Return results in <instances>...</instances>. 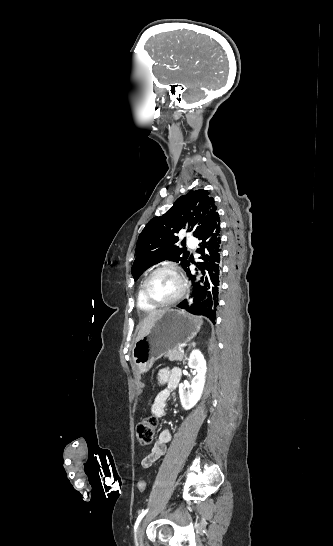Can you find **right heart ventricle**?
<instances>
[{"mask_svg":"<svg viewBox=\"0 0 333 546\" xmlns=\"http://www.w3.org/2000/svg\"><path fill=\"white\" fill-rule=\"evenodd\" d=\"M137 306L140 310L144 311V312H152L154 310H156L157 307L151 305L150 303H148L144 296H143V292H142V284L138 290V293H137Z\"/></svg>","mask_w":333,"mask_h":546,"instance_id":"e07e8e85","label":"right heart ventricle"}]
</instances>
